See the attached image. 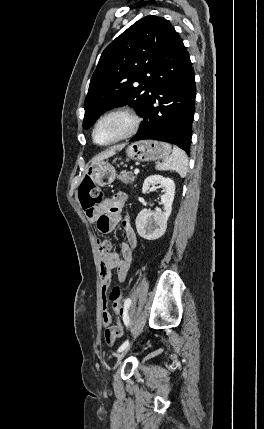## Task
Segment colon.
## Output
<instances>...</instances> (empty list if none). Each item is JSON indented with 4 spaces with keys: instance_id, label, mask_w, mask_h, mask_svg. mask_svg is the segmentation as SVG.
<instances>
[{
    "instance_id": "obj_1",
    "label": "colon",
    "mask_w": 264,
    "mask_h": 429,
    "mask_svg": "<svg viewBox=\"0 0 264 429\" xmlns=\"http://www.w3.org/2000/svg\"><path fill=\"white\" fill-rule=\"evenodd\" d=\"M104 199L103 190L95 185L91 179H84L79 187V201L85 212L91 213ZM113 310L122 315L125 311L124 299L119 287L110 292Z\"/></svg>"
}]
</instances>
